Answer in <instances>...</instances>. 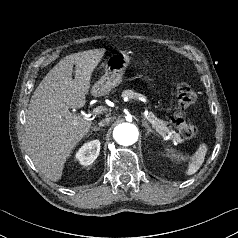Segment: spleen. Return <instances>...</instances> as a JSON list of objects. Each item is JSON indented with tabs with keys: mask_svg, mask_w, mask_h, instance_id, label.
I'll return each mask as SVG.
<instances>
[{
	"mask_svg": "<svg viewBox=\"0 0 238 238\" xmlns=\"http://www.w3.org/2000/svg\"><path fill=\"white\" fill-rule=\"evenodd\" d=\"M167 151L169 153H171L170 155L172 157H176L177 156L173 152L172 149H167ZM206 153H207L206 145L205 144H201L199 146V148L197 149V151L195 152V154L191 157V162H190L188 170L186 172L187 175H193L194 173H196L199 170L200 166L204 162ZM177 157H179V156H177Z\"/></svg>",
	"mask_w": 238,
	"mask_h": 238,
	"instance_id": "spleen-1",
	"label": "spleen"
}]
</instances>
